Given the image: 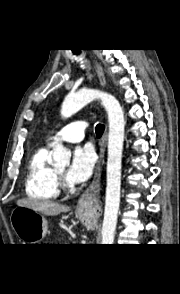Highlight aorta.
<instances>
[{
	"mask_svg": "<svg viewBox=\"0 0 180 294\" xmlns=\"http://www.w3.org/2000/svg\"><path fill=\"white\" fill-rule=\"evenodd\" d=\"M95 99L101 100L109 120L107 184L101 234L102 244L111 245L114 242L120 206L121 162L125 127L123 109L118 100L108 93L96 89H82L65 97L61 107V115L63 118H68ZM70 158L71 152L61 143L54 146L53 160L55 166H68Z\"/></svg>",
	"mask_w": 180,
	"mask_h": 294,
	"instance_id": "aorta-1",
	"label": "aorta"
}]
</instances>
